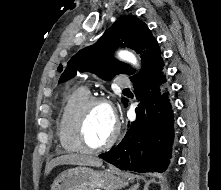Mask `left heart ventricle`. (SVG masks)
I'll return each mask as SVG.
<instances>
[{
  "instance_id": "b2bd125f",
  "label": "left heart ventricle",
  "mask_w": 221,
  "mask_h": 190,
  "mask_svg": "<svg viewBox=\"0 0 221 190\" xmlns=\"http://www.w3.org/2000/svg\"><path fill=\"white\" fill-rule=\"evenodd\" d=\"M115 126L112 111L105 105L93 106L87 114L84 134L90 146H98L109 140Z\"/></svg>"
}]
</instances>
